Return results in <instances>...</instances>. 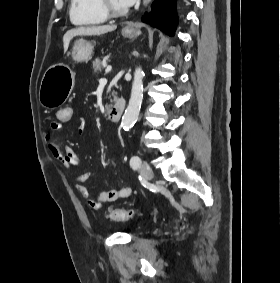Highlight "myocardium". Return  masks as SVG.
Masks as SVG:
<instances>
[{
    "label": "myocardium",
    "instance_id": "obj_1",
    "mask_svg": "<svg viewBox=\"0 0 280 283\" xmlns=\"http://www.w3.org/2000/svg\"><path fill=\"white\" fill-rule=\"evenodd\" d=\"M98 4L107 17H121L126 15L129 11L128 8L123 10H117L113 8L110 5L109 0H98Z\"/></svg>",
    "mask_w": 280,
    "mask_h": 283
}]
</instances>
